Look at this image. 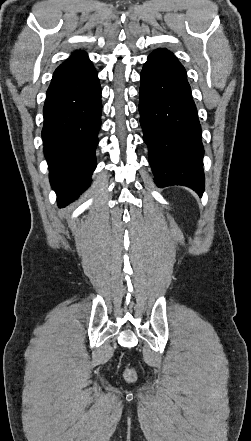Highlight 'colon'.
Masks as SVG:
<instances>
[{
    "label": "colon",
    "instance_id": "1",
    "mask_svg": "<svg viewBox=\"0 0 251 441\" xmlns=\"http://www.w3.org/2000/svg\"><path fill=\"white\" fill-rule=\"evenodd\" d=\"M124 378L129 383L134 382L136 380L135 371L130 367L126 368V370L124 372Z\"/></svg>",
    "mask_w": 251,
    "mask_h": 441
}]
</instances>
